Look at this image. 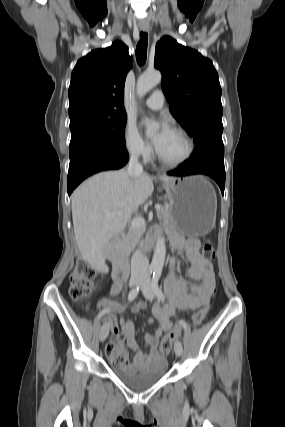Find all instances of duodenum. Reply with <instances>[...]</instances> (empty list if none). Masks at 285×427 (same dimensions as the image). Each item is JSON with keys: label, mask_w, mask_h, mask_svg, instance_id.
Instances as JSON below:
<instances>
[{"label": "duodenum", "mask_w": 285, "mask_h": 427, "mask_svg": "<svg viewBox=\"0 0 285 427\" xmlns=\"http://www.w3.org/2000/svg\"><path fill=\"white\" fill-rule=\"evenodd\" d=\"M157 237L154 234H149L146 237V246H150L156 241ZM117 241H120L118 239ZM115 268L113 271V276L115 279L124 280L128 276V262L126 257L122 254L121 249L119 248L114 256Z\"/></svg>", "instance_id": "1"}]
</instances>
